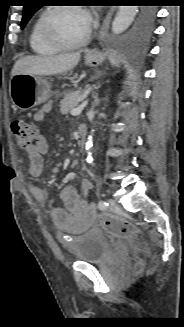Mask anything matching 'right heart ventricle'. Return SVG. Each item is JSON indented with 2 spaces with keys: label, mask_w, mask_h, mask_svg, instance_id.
Returning a JSON list of instances; mask_svg holds the SVG:
<instances>
[{
  "label": "right heart ventricle",
  "mask_w": 184,
  "mask_h": 327,
  "mask_svg": "<svg viewBox=\"0 0 184 327\" xmlns=\"http://www.w3.org/2000/svg\"><path fill=\"white\" fill-rule=\"evenodd\" d=\"M46 11L41 12L37 18L34 20L30 35L29 43L31 49L38 55H54L58 53L61 49L49 43L43 35L42 32V19Z\"/></svg>",
  "instance_id": "right-heart-ventricle-1"
}]
</instances>
